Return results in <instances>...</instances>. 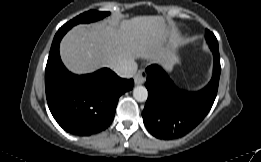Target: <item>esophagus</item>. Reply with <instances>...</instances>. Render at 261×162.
<instances>
[{"instance_id":"obj_1","label":"esophagus","mask_w":261,"mask_h":162,"mask_svg":"<svg viewBox=\"0 0 261 162\" xmlns=\"http://www.w3.org/2000/svg\"><path fill=\"white\" fill-rule=\"evenodd\" d=\"M147 73L145 70H140L138 73L134 76V82L136 85L143 84L146 81Z\"/></svg>"}]
</instances>
